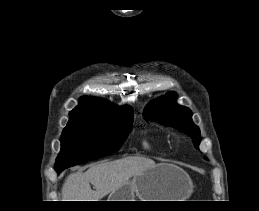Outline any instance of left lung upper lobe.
Masks as SVG:
<instances>
[{"label": "left lung upper lobe", "instance_id": "5c2ea615", "mask_svg": "<svg viewBox=\"0 0 259 211\" xmlns=\"http://www.w3.org/2000/svg\"><path fill=\"white\" fill-rule=\"evenodd\" d=\"M176 98L174 92H169L164 97L153 101L145 108L143 117L146 120L157 121L158 123L179 129L193 137V143L198 148L200 130L192 121L190 109L177 105Z\"/></svg>", "mask_w": 259, "mask_h": 211}]
</instances>
